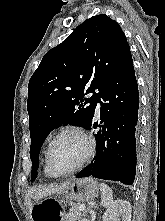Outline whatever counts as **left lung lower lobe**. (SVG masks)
Here are the masks:
<instances>
[{"label": "left lung lower lobe", "mask_w": 165, "mask_h": 221, "mask_svg": "<svg viewBox=\"0 0 165 221\" xmlns=\"http://www.w3.org/2000/svg\"><path fill=\"white\" fill-rule=\"evenodd\" d=\"M102 99V101L100 100ZM101 121L87 129L100 127L94 162L79 172L76 177L94 176L100 179L120 181L131 185L136 173V126L138 122L139 93L132 56L102 91ZM94 116V115H93Z\"/></svg>", "instance_id": "1"}]
</instances>
